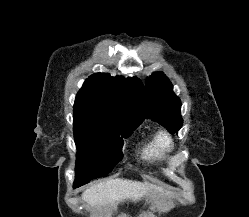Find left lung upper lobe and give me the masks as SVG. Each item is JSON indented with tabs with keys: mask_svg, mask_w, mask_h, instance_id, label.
<instances>
[{
	"mask_svg": "<svg viewBox=\"0 0 249 217\" xmlns=\"http://www.w3.org/2000/svg\"><path fill=\"white\" fill-rule=\"evenodd\" d=\"M146 118L163 125L171 134L178 132L183 120L180 115L181 100L174 94L173 86L163 72H155L146 80Z\"/></svg>",
	"mask_w": 249,
	"mask_h": 217,
	"instance_id": "1",
	"label": "left lung upper lobe"
}]
</instances>
